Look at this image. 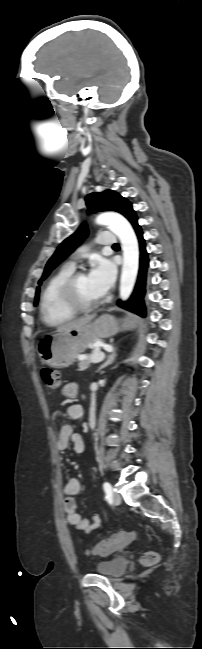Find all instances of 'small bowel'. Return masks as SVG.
I'll list each match as a JSON object with an SVG mask.
<instances>
[{
  "label": "small bowel",
  "instance_id": "small-bowel-1",
  "mask_svg": "<svg viewBox=\"0 0 202 649\" xmlns=\"http://www.w3.org/2000/svg\"><path fill=\"white\" fill-rule=\"evenodd\" d=\"M66 397L73 398L78 393V385L75 382L67 383L62 390ZM67 415L72 420H78L83 415V407L80 404L73 403L67 407ZM72 443L76 453H83L85 450L84 441L79 433L73 431V428L66 424L60 428L56 440L58 451H65L69 444ZM81 484L78 479H70L64 486L63 492L66 496L64 500V509L67 514L68 523L75 529L85 533L99 530L103 527L102 520L98 514H92L89 517H83L77 510L74 497L79 494Z\"/></svg>",
  "mask_w": 202,
  "mask_h": 649
}]
</instances>
